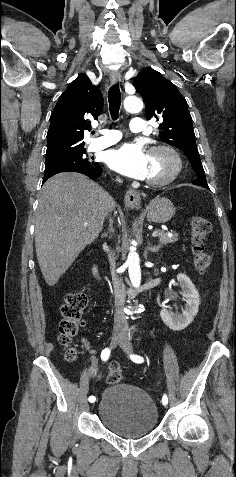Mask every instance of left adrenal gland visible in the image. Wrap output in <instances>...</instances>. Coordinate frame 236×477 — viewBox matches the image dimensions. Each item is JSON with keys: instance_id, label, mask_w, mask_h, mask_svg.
Segmentation results:
<instances>
[{"instance_id": "left-adrenal-gland-1", "label": "left adrenal gland", "mask_w": 236, "mask_h": 477, "mask_svg": "<svg viewBox=\"0 0 236 477\" xmlns=\"http://www.w3.org/2000/svg\"><path fill=\"white\" fill-rule=\"evenodd\" d=\"M161 248V244H159L158 246H152L150 242H148V245H147V250L148 251H151V252H158Z\"/></svg>"}]
</instances>
